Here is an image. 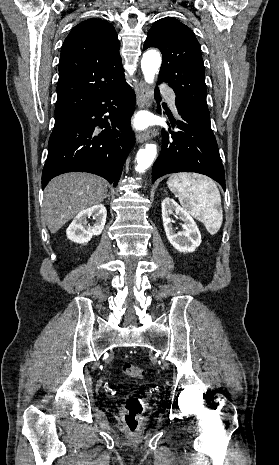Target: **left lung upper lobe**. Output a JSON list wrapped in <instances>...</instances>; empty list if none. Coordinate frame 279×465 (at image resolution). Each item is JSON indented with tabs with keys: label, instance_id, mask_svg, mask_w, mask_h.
<instances>
[{
	"label": "left lung upper lobe",
	"instance_id": "obj_1",
	"mask_svg": "<svg viewBox=\"0 0 279 465\" xmlns=\"http://www.w3.org/2000/svg\"><path fill=\"white\" fill-rule=\"evenodd\" d=\"M149 47H157L162 52L159 82H167L174 90L177 109L210 123L204 64L193 31L175 18L159 19L149 30L143 49Z\"/></svg>",
	"mask_w": 279,
	"mask_h": 465
}]
</instances>
